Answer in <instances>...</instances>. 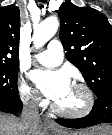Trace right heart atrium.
Returning a JSON list of instances; mask_svg holds the SVG:
<instances>
[{"label":"right heart atrium","instance_id":"1","mask_svg":"<svg viewBox=\"0 0 112 135\" xmlns=\"http://www.w3.org/2000/svg\"><path fill=\"white\" fill-rule=\"evenodd\" d=\"M18 90L22 103L27 107L37 109L46 105L45 100L25 80H20Z\"/></svg>","mask_w":112,"mask_h":135}]
</instances>
